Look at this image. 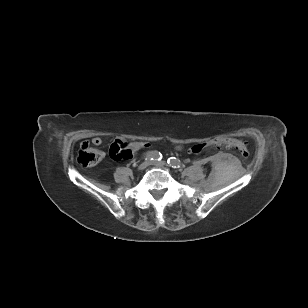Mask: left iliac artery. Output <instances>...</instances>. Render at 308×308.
Here are the masks:
<instances>
[{"mask_svg": "<svg viewBox=\"0 0 308 308\" xmlns=\"http://www.w3.org/2000/svg\"><path fill=\"white\" fill-rule=\"evenodd\" d=\"M167 163L173 168H180L182 165L181 161L175 157H170Z\"/></svg>", "mask_w": 308, "mask_h": 308, "instance_id": "44dca946", "label": "left iliac artery"}]
</instances>
